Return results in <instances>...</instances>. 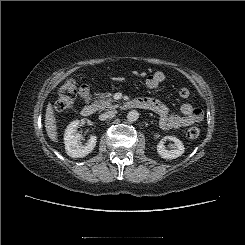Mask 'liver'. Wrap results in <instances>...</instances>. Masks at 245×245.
Listing matches in <instances>:
<instances>
[{"label":"liver","instance_id":"6515ba94","mask_svg":"<svg viewBox=\"0 0 245 245\" xmlns=\"http://www.w3.org/2000/svg\"><path fill=\"white\" fill-rule=\"evenodd\" d=\"M45 128L48 137L53 141L57 142L58 133H57V125L56 118L54 115V110L52 108V104L49 103L47 105L46 114H45Z\"/></svg>","mask_w":245,"mask_h":245}]
</instances>
